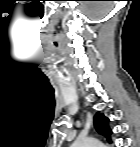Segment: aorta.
Instances as JSON below:
<instances>
[{
    "label": "aorta",
    "instance_id": "1",
    "mask_svg": "<svg viewBox=\"0 0 140 147\" xmlns=\"http://www.w3.org/2000/svg\"><path fill=\"white\" fill-rule=\"evenodd\" d=\"M73 147H103V143L95 138H79L73 144Z\"/></svg>",
    "mask_w": 140,
    "mask_h": 147
}]
</instances>
